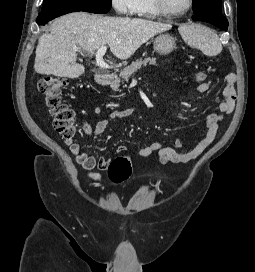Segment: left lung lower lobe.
Here are the masks:
<instances>
[{
	"label": "left lung lower lobe",
	"mask_w": 255,
	"mask_h": 272,
	"mask_svg": "<svg viewBox=\"0 0 255 272\" xmlns=\"http://www.w3.org/2000/svg\"><path fill=\"white\" fill-rule=\"evenodd\" d=\"M192 19L205 21L211 23L220 29L227 30L228 29V21L227 19L221 14V11L215 9H207L200 12H197Z\"/></svg>",
	"instance_id": "0a47b994"
}]
</instances>
